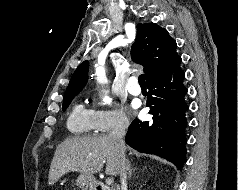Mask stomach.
<instances>
[{"label":"stomach","instance_id":"0dacf381","mask_svg":"<svg viewBox=\"0 0 238 190\" xmlns=\"http://www.w3.org/2000/svg\"><path fill=\"white\" fill-rule=\"evenodd\" d=\"M77 186L81 190H96V179L93 176L80 174L76 180Z\"/></svg>","mask_w":238,"mask_h":190}]
</instances>
